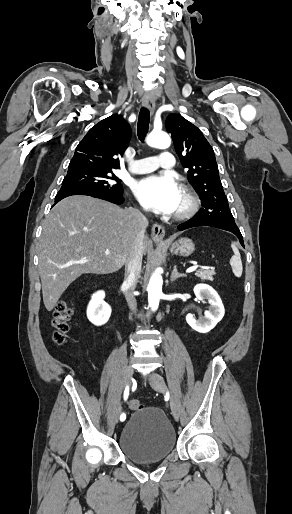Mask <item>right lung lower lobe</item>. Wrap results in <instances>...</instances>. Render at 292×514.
Returning a JSON list of instances; mask_svg holds the SVG:
<instances>
[{
  "label": "right lung lower lobe",
  "instance_id": "right-lung-lower-lobe-1",
  "mask_svg": "<svg viewBox=\"0 0 292 514\" xmlns=\"http://www.w3.org/2000/svg\"><path fill=\"white\" fill-rule=\"evenodd\" d=\"M72 195H87L95 198H100L103 200H107L109 202L115 204H121L124 202L123 190L116 192H105L99 190H89V189H65L60 190L55 197V204L58 203L63 198Z\"/></svg>",
  "mask_w": 292,
  "mask_h": 514
}]
</instances>
